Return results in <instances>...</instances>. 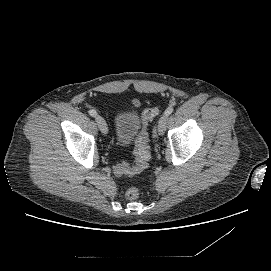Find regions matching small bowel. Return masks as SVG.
Wrapping results in <instances>:
<instances>
[{"instance_id":"small-bowel-1","label":"small bowel","mask_w":271,"mask_h":271,"mask_svg":"<svg viewBox=\"0 0 271 271\" xmlns=\"http://www.w3.org/2000/svg\"><path fill=\"white\" fill-rule=\"evenodd\" d=\"M135 104L137 105V104H138V102H137V101H135Z\"/></svg>"}]
</instances>
